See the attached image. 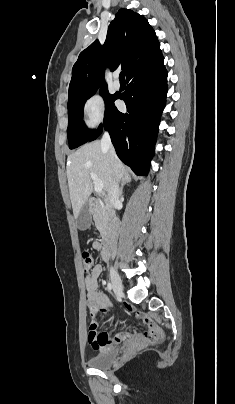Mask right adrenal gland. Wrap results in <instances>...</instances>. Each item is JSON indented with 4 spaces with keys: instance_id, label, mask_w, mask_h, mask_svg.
<instances>
[{
    "instance_id": "right-adrenal-gland-1",
    "label": "right adrenal gland",
    "mask_w": 235,
    "mask_h": 404,
    "mask_svg": "<svg viewBox=\"0 0 235 404\" xmlns=\"http://www.w3.org/2000/svg\"><path fill=\"white\" fill-rule=\"evenodd\" d=\"M131 181H132V178H131L130 175L126 176V177L123 179L122 184H121V189H120V196H121L122 193H123V188H124V186H125L126 184L131 183Z\"/></svg>"
}]
</instances>
